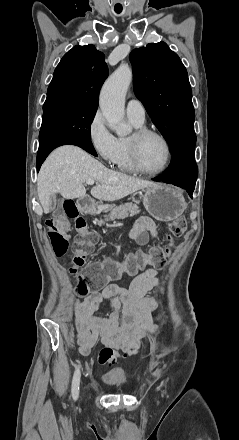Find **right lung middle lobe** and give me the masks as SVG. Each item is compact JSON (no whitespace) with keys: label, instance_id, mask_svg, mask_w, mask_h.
<instances>
[{"label":"right lung middle lobe","instance_id":"1","mask_svg":"<svg viewBox=\"0 0 239 440\" xmlns=\"http://www.w3.org/2000/svg\"><path fill=\"white\" fill-rule=\"evenodd\" d=\"M96 109H88L66 102L44 104L40 144L46 139L64 135L79 134L90 138V124Z\"/></svg>","mask_w":239,"mask_h":440}]
</instances>
